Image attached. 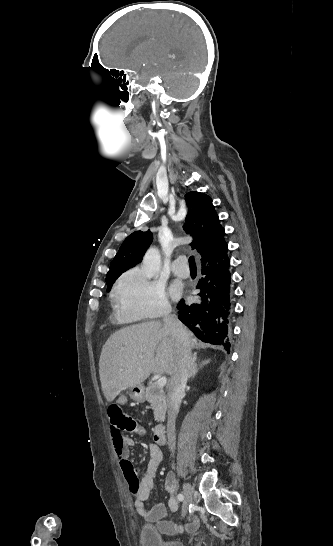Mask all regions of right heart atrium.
<instances>
[{"label": "right heart atrium", "instance_id": "right-heart-atrium-1", "mask_svg": "<svg viewBox=\"0 0 333 546\" xmlns=\"http://www.w3.org/2000/svg\"><path fill=\"white\" fill-rule=\"evenodd\" d=\"M117 316L122 322L154 320L170 312L164 287L147 278L142 270L125 272L115 286Z\"/></svg>", "mask_w": 333, "mask_h": 546}]
</instances>
